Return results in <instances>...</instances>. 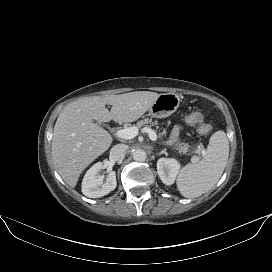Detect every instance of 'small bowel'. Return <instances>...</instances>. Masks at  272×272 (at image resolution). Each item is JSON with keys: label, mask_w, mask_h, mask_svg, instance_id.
Instances as JSON below:
<instances>
[{"label": "small bowel", "mask_w": 272, "mask_h": 272, "mask_svg": "<svg viewBox=\"0 0 272 272\" xmlns=\"http://www.w3.org/2000/svg\"><path fill=\"white\" fill-rule=\"evenodd\" d=\"M182 130V127L181 126H175L170 134V141L171 142H175L178 137H179V134Z\"/></svg>", "instance_id": "obj_1"}]
</instances>
